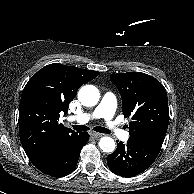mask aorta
<instances>
[{
	"label": "aorta",
	"instance_id": "aorta-1",
	"mask_svg": "<svg viewBox=\"0 0 194 194\" xmlns=\"http://www.w3.org/2000/svg\"><path fill=\"white\" fill-rule=\"evenodd\" d=\"M100 98L99 90L93 85H85L78 92V99L82 105L95 106ZM115 141L108 136L102 137L99 141V147L103 152L111 153L115 150Z\"/></svg>",
	"mask_w": 194,
	"mask_h": 194
}]
</instances>
